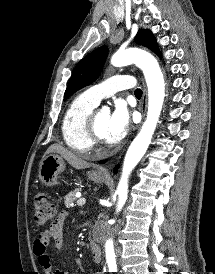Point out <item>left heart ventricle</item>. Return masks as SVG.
I'll return each mask as SVG.
<instances>
[{
    "label": "left heart ventricle",
    "mask_w": 215,
    "mask_h": 274,
    "mask_svg": "<svg viewBox=\"0 0 215 274\" xmlns=\"http://www.w3.org/2000/svg\"><path fill=\"white\" fill-rule=\"evenodd\" d=\"M109 114L106 112L98 111L96 114V129L97 132L106 139V129L108 123Z\"/></svg>",
    "instance_id": "obj_1"
}]
</instances>
